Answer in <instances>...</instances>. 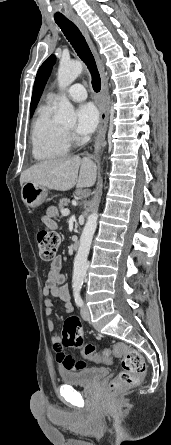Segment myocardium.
I'll return each mask as SVG.
<instances>
[{
  "mask_svg": "<svg viewBox=\"0 0 171 445\" xmlns=\"http://www.w3.org/2000/svg\"><path fill=\"white\" fill-rule=\"evenodd\" d=\"M63 131H64V133L67 135V136H69L70 135V131L69 130H67V129H65V128H63Z\"/></svg>",
  "mask_w": 171,
  "mask_h": 445,
  "instance_id": "f54148a6",
  "label": "myocardium"
}]
</instances>
